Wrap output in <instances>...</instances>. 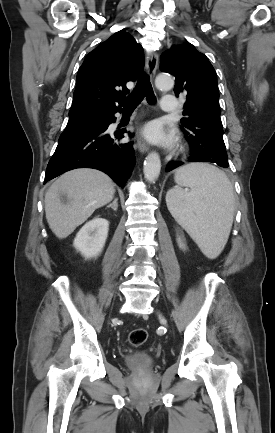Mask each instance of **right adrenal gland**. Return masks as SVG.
<instances>
[{
    "label": "right adrenal gland",
    "instance_id": "2a0ac1e0",
    "mask_svg": "<svg viewBox=\"0 0 275 433\" xmlns=\"http://www.w3.org/2000/svg\"><path fill=\"white\" fill-rule=\"evenodd\" d=\"M117 201H118V198H115L114 201L107 206V208L111 207L114 211H116L118 208V202Z\"/></svg>",
    "mask_w": 275,
    "mask_h": 433
}]
</instances>
